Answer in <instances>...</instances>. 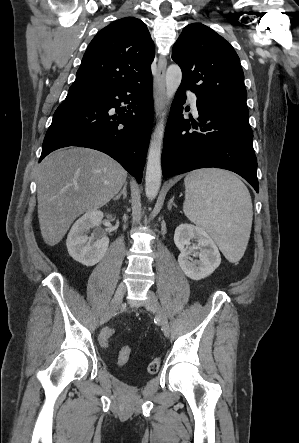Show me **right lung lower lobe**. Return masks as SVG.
<instances>
[{
  "mask_svg": "<svg viewBox=\"0 0 299 443\" xmlns=\"http://www.w3.org/2000/svg\"><path fill=\"white\" fill-rule=\"evenodd\" d=\"M122 103L129 105L121 107ZM152 122V76L89 92H69L54 113L39 162L59 148H92L117 160L140 183Z\"/></svg>",
  "mask_w": 299,
  "mask_h": 443,
  "instance_id": "98d812e1",
  "label": "right lung lower lobe"
}]
</instances>
